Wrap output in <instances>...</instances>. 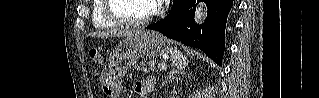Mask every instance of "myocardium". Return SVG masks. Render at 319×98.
<instances>
[{"label": "myocardium", "mask_w": 319, "mask_h": 98, "mask_svg": "<svg viewBox=\"0 0 319 98\" xmlns=\"http://www.w3.org/2000/svg\"><path fill=\"white\" fill-rule=\"evenodd\" d=\"M112 0H104L103 12L105 17L112 22L114 25L129 27V28H140L149 23L158 13L157 8L153 6L152 11L143 19L140 20H129L116 15L111 10Z\"/></svg>", "instance_id": "f54148a6"}]
</instances>
